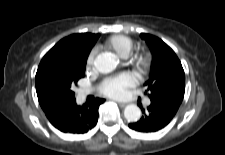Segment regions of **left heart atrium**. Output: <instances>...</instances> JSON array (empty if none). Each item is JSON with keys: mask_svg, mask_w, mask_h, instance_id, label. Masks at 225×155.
Segmentation results:
<instances>
[{"mask_svg": "<svg viewBox=\"0 0 225 155\" xmlns=\"http://www.w3.org/2000/svg\"><path fill=\"white\" fill-rule=\"evenodd\" d=\"M137 82L138 79L134 74L125 72L117 76L107 78L102 84L101 91L107 96L120 98L124 96L127 89L134 87Z\"/></svg>", "mask_w": 225, "mask_h": 155, "instance_id": "left-heart-atrium-1", "label": "left heart atrium"}]
</instances>
